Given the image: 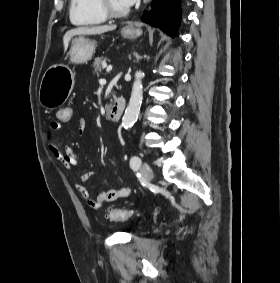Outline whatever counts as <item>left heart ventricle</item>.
<instances>
[{
    "label": "left heart ventricle",
    "mask_w": 280,
    "mask_h": 283,
    "mask_svg": "<svg viewBox=\"0 0 280 283\" xmlns=\"http://www.w3.org/2000/svg\"><path fill=\"white\" fill-rule=\"evenodd\" d=\"M108 1H109V5L117 11L125 10L128 8V6L123 2V0H108Z\"/></svg>",
    "instance_id": "obj_1"
}]
</instances>
